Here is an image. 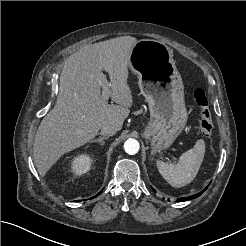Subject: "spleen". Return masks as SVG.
<instances>
[{
    "mask_svg": "<svg viewBox=\"0 0 246 246\" xmlns=\"http://www.w3.org/2000/svg\"><path fill=\"white\" fill-rule=\"evenodd\" d=\"M205 154V142L197 140L194 147L184 152L177 163L156 161L162 177L173 187L179 188L191 183L196 177Z\"/></svg>",
    "mask_w": 246,
    "mask_h": 246,
    "instance_id": "1",
    "label": "spleen"
}]
</instances>
